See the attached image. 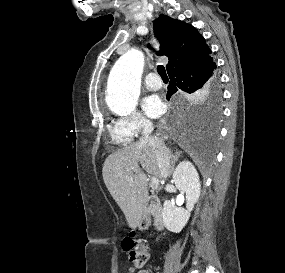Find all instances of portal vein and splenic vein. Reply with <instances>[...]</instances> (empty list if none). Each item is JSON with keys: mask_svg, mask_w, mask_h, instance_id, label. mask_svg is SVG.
I'll use <instances>...</instances> for the list:
<instances>
[{"mask_svg": "<svg viewBox=\"0 0 285 273\" xmlns=\"http://www.w3.org/2000/svg\"><path fill=\"white\" fill-rule=\"evenodd\" d=\"M135 171H136V170H135ZM150 181H151V187H152L153 189H157L158 186H159V179H158L157 177H155V176H152L151 179H150Z\"/></svg>", "mask_w": 285, "mask_h": 273, "instance_id": "portal-vein-and-splenic-vein-1", "label": "portal vein and splenic vein"}]
</instances>
